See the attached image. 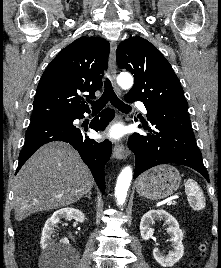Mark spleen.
<instances>
[{
	"label": "spleen",
	"mask_w": 221,
	"mask_h": 268,
	"mask_svg": "<svg viewBox=\"0 0 221 268\" xmlns=\"http://www.w3.org/2000/svg\"><path fill=\"white\" fill-rule=\"evenodd\" d=\"M185 192L189 196L188 201L192 209L201 210L205 207L206 202L204 194L193 179H188L186 181Z\"/></svg>",
	"instance_id": "spleen-1"
}]
</instances>
